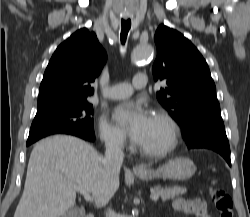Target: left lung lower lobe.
Returning a JSON list of instances; mask_svg holds the SVG:
<instances>
[{"label":"left lung lower lobe","mask_w":250,"mask_h":217,"mask_svg":"<svg viewBox=\"0 0 250 217\" xmlns=\"http://www.w3.org/2000/svg\"><path fill=\"white\" fill-rule=\"evenodd\" d=\"M187 147L211 149L219 153L231 166L230 147L221 116L210 117L183 135Z\"/></svg>","instance_id":"1"}]
</instances>
